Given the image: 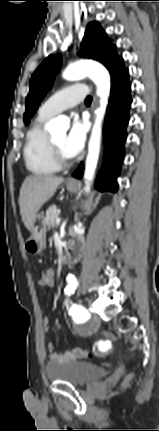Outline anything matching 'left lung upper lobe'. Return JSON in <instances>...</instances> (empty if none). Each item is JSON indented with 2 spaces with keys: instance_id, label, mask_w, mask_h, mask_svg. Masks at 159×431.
Listing matches in <instances>:
<instances>
[{
  "instance_id": "1",
  "label": "left lung upper lobe",
  "mask_w": 159,
  "mask_h": 431,
  "mask_svg": "<svg viewBox=\"0 0 159 431\" xmlns=\"http://www.w3.org/2000/svg\"><path fill=\"white\" fill-rule=\"evenodd\" d=\"M80 57L92 58L102 62L110 71L111 76L124 66L123 59L115 53L107 35L97 22L87 26L83 42L80 45ZM61 66L60 55L48 56L36 69L30 81V92L26 98L24 122L29 123L38 106L51 87L53 79Z\"/></svg>"
}]
</instances>
